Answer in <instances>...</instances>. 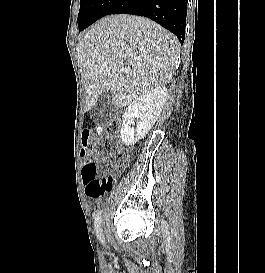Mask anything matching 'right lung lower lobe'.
<instances>
[{
  "mask_svg": "<svg viewBox=\"0 0 265 273\" xmlns=\"http://www.w3.org/2000/svg\"><path fill=\"white\" fill-rule=\"evenodd\" d=\"M121 13L148 17L184 42L187 0H116L106 15Z\"/></svg>",
  "mask_w": 265,
  "mask_h": 273,
  "instance_id": "right-lung-lower-lobe-1",
  "label": "right lung lower lobe"
}]
</instances>
